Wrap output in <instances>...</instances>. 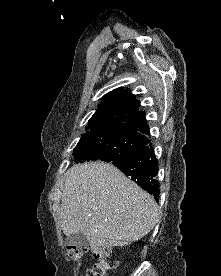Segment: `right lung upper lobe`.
I'll list each match as a JSON object with an SVG mask.
<instances>
[{
  "label": "right lung upper lobe",
  "mask_w": 221,
  "mask_h": 276,
  "mask_svg": "<svg viewBox=\"0 0 221 276\" xmlns=\"http://www.w3.org/2000/svg\"><path fill=\"white\" fill-rule=\"evenodd\" d=\"M140 102L129 89L118 88L102 98L81 139L109 133H124L146 138L149 127Z\"/></svg>",
  "instance_id": "cb5924a9"
}]
</instances>
